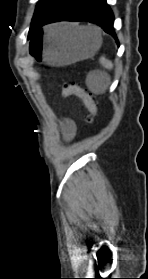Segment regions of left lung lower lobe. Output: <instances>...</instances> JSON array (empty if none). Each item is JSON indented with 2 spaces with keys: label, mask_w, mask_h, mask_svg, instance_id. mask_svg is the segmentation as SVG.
I'll return each mask as SVG.
<instances>
[{
  "label": "left lung lower lobe",
  "mask_w": 148,
  "mask_h": 279,
  "mask_svg": "<svg viewBox=\"0 0 148 279\" xmlns=\"http://www.w3.org/2000/svg\"><path fill=\"white\" fill-rule=\"evenodd\" d=\"M58 21H88L95 23L117 41L113 28L114 15L106 0H65L45 20L38 24L36 30L45 24Z\"/></svg>",
  "instance_id": "left-lung-lower-lobe-1"
}]
</instances>
